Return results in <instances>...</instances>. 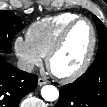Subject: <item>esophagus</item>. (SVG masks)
<instances>
[{
  "mask_svg": "<svg viewBox=\"0 0 107 107\" xmlns=\"http://www.w3.org/2000/svg\"><path fill=\"white\" fill-rule=\"evenodd\" d=\"M48 83V81L46 80V79H44V78H39L38 79V85L39 86H42V85H45V84H47Z\"/></svg>",
  "mask_w": 107,
  "mask_h": 107,
  "instance_id": "obj_1",
  "label": "esophagus"
}]
</instances>
